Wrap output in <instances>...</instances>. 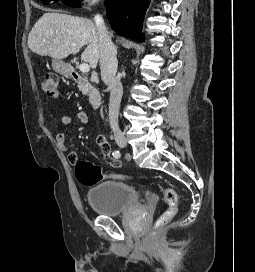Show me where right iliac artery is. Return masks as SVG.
<instances>
[{
	"mask_svg": "<svg viewBox=\"0 0 255 272\" xmlns=\"http://www.w3.org/2000/svg\"><path fill=\"white\" fill-rule=\"evenodd\" d=\"M113 156H114L115 158H120L121 154H120L119 151H114V152H113Z\"/></svg>",
	"mask_w": 255,
	"mask_h": 272,
	"instance_id": "obj_1",
	"label": "right iliac artery"
}]
</instances>
